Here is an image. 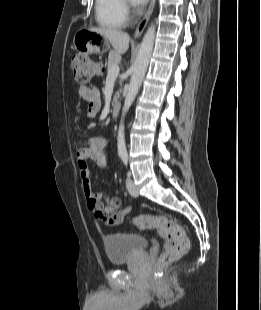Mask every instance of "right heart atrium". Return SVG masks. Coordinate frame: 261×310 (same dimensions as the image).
I'll use <instances>...</instances> for the list:
<instances>
[{
  "mask_svg": "<svg viewBox=\"0 0 261 310\" xmlns=\"http://www.w3.org/2000/svg\"><path fill=\"white\" fill-rule=\"evenodd\" d=\"M124 10H125L126 13H127L128 10H129V8H128V6H127L126 4H124Z\"/></svg>",
  "mask_w": 261,
  "mask_h": 310,
  "instance_id": "obj_1",
  "label": "right heart atrium"
}]
</instances>
